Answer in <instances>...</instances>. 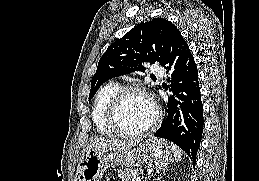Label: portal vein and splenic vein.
Masks as SVG:
<instances>
[{
  "mask_svg": "<svg viewBox=\"0 0 259 181\" xmlns=\"http://www.w3.org/2000/svg\"><path fill=\"white\" fill-rule=\"evenodd\" d=\"M132 181H141V178L140 177L134 178Z\"/></svg>",
  "mask_w": 259,
  "mask_h": 181,
  "instance_id": "1",
  "label": "portal vein and splenic vein"
}]
</instances>
